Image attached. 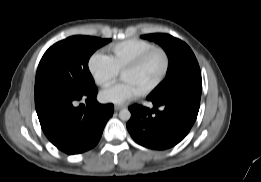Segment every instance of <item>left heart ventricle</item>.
<instances>
[{
	"instance_id": "1",
	"label": "left heart ventricle",
	"mask_w": 261,
	"mask_h": 182,
	"mask_svg": "<svg viewBox=\"0 0 261 182\" xmlns=\"http://www.w3.org/2000/svg\"><path fill=\"white\" fill-rule=\"evenodd\" d=\"M163 65L162 55L154 53L140 67L123 72L121 77L123 81H131L143 90L160 76Z\"/></svg>"
}]
</instances>
